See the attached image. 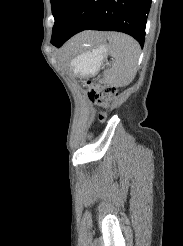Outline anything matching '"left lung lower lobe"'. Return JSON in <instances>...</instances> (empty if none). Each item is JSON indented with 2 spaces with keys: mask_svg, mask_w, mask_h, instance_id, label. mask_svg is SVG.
<instances>
[{
  "mask_svg": "<svg viewBox=\"0 0 183 246\" xmlns=\"http://www.w3.org/2000/svg\"><path fill=\"white\" fill-rule=\"evenodd\" d=\"M150 6L151 0H77L51 43L59 48L83 30H102L124 32L143 46Z\"/></svg>",
  "mask_w": 183,
  "mask_h": 246,
  "instance_id": "1",
  "label": "left lung lower lobe"
}]
</instances>
